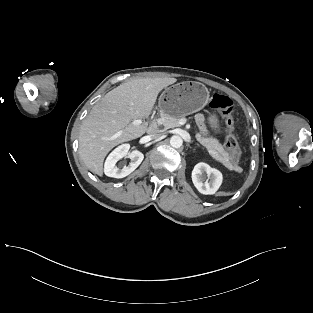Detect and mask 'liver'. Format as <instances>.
<instances>
[{"mask_svg": "<svg viewBox=\"0 0 313 313\" xmlns=\"http://www.w3.org/2000/svg\"><path fill=\"white\" fill-rule=\"evenodd\" d=\"M176 78H138L108 92L83 121L79 134V154L87 168L102 176L103 162L115 146L141 137L159 92L175 83Z\"/></svg>", "mask_w": 313, "mask_h": 313, "instance_id": "1", "label": "liver"}]
</instances>
